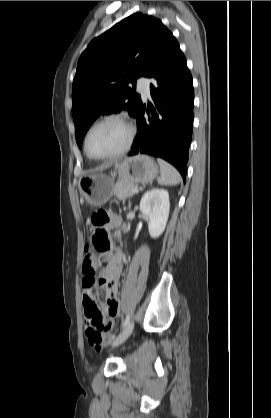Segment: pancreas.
<instances>
[{
	"label": "pancreas",
	"mask_w": 271,
	"mask_h": 418,
	"mask_svg": "<svg viewBox=\"0 0 271 418\" xmlns=\"http://www.w3.org/2000/svg\"><path fill=\"white\" fill-rule=\"evenodd\" d=\"M135 188H137L136 184L129 181L119 180L115 184L114 195L120 200H125L134 195L132 190Z\"/></svg>",
	"instance_id": "1"
}]
</instances>
